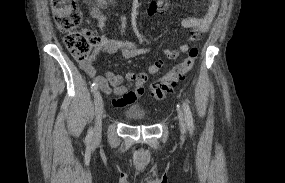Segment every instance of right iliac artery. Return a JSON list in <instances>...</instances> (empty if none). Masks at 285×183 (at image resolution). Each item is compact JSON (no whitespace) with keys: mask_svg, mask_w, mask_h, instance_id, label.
Returning a JSON list of instances; mask_svg holds the SVG:
<instances>
[{"mask_svg":"<svg viewBox=\"0 0 285 183\" xmlns=\"http://www.w3.org/2000/svg\"><path fill=\"white\" fill-rule=\"evenodd\" d=\"M97 89H98L97 83H93L92 86H91V91L95 93V92L97 91ZM91 139H92V130L90 129V130L88 131L87 136H86V141H87V142H90Z\"/></svg>","mask_w":285,"mask_h":183,"instance_id":"right-iliac-artery-1","label":"right iliac artery"}]
</instances>
